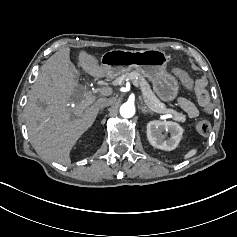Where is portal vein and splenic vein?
I'll use <instances>...</instances> for the list:
<instances>
[{"instance_id": "portal-vein-and-splenic-vein-1", "label": "portal vein and splenic vein", "mask_w": 237, "mask_h": 237, "mask_svg": "<svg viewBox=\"0 0 237 237\" xmlns=\"http://www.w3.org/2000/svg\"><path fill=\"white\" fill-rule=\"evenodd\" d=\"M132 84H133V87H135V89H138V85L136 84V81L135 80H132ZM140 96L142 97V99L144 100V102L148 105L147 107L149 108V109H151L152 111H155V112H157V113H170V114H173V115H176L177 116V111L176 110H174V109H171V108H162V109H160V108H158L157 106H155L152 102H150V101H148L147 100V97L143 94V93H140ZM178 117V116H177ZM179 118V117H178ZM179 119H181V118H179Z\"/></svg>"}]
</instances>
